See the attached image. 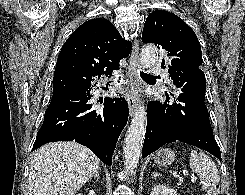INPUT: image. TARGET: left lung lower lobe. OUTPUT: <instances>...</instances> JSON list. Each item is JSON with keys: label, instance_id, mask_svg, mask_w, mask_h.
I'll return each instance as SVG.
<instances>
[{"label": "left lung lower lobe", "instance_id": "0a47b994", "mask_svg": "<svg viewBox=\"0 0 245 195\" xmlns=\"http://www.w3.org/2000/svg\"><path fill=\"white\" fill-rule=\"evenodd\" d=\"M174 103L151 101L147 106V128L142 157L159 147L180 141L208 151L221 160L214 139L205 98L192 93L171 94Z\"/></svg>", "mask_w": 245, "mask_h": 195}]
</instances>
